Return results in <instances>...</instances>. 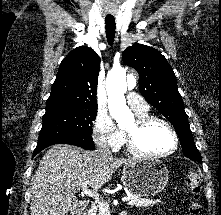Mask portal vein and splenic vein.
I'll use <instances>...</instances> for the list:
<instances>
[{
	"label": "portal vein and splenic vein",
	"instance_id": "portal-vein-and-splenic-vein-1",
	"mask_svg": "<svg viewBox=\"0 0 221 215\" xmlns=\"http://www.w3.org/2000/svg\"><path fill=\"white\" fill-rule=\"evenodd\" d=\"M81 192H82V194H85L87 196L94 197V198H96L98 196V193L96 191L90 190L86 187H83L81 189ZM130 200H131V197H123L122 198V201H124V202L130 201Z\"/></svg>",
	"mask_w": 221,
	"mask_h": 215
}]
</instances>
